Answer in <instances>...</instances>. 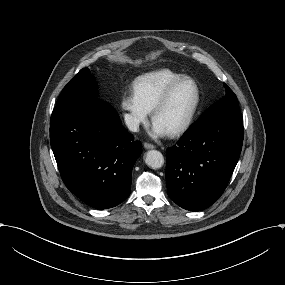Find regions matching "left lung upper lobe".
Wrapping results in <instances>:
<instances>
[{"mask_svg": "<svg viewBox=\"0 0 285 285\" xmlns=\"http://www.w3.org/2000/svg\"><path fill=\"white\" fill-rule=\"evenodd\" d=\"M226 90L225 96L219 101L215 102L212 106H210L202 116L221 108L231 107V106H239L238 100L234 92L224 83L223 84ZM201 116V117H202ZM200 117V118H201Z\"/></svg>", "mask_w": 285, "mask_h": 285, "instance_id": "1", "label": "left lung upper lobe"}]
</instances>
